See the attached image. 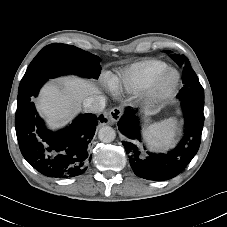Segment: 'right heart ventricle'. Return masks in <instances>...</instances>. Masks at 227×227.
<instances>
[{
  "mask_svg": "<svg viewBox=\"0 0 227 227\" xmlns=\"http://www.w3.org/2000/svg\"><path fill=\"white\" fill-rule=\"evenodd\" d=\"M167 68L168 65L163 61L145 59L121 70L110 80V86L115 91L140 92L148 88L154 79Z\"/></svg>",
  "mask_w": 227,
  "mask_h": 227,
  "instance_id": "1",
  "label": "right heart ventricle"
}]
</instances>
